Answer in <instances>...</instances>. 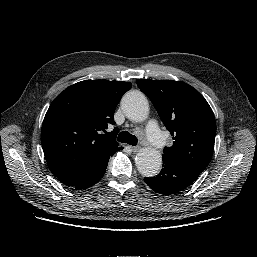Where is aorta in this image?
<instances>
[{
  "mask_svg": "<svg viewBox=\"0 0 257 257\" xmlns=\"http://www.w3.org/2000/svg\"><path fill=\"white\" fill-rule=\"evenodd\" d=\"M125 116L135 122H143L149 115V103L144 94L138 91L127 93L121 102ZM138 171L146 177H154L162 165L161 153L152 147H144L135 157Z\"/></svg>",
  "mask_w": 257,
  "mask_h": 257,
  "instance_id": "obj_1",
  "label": "aorta"
}]
</instances>
